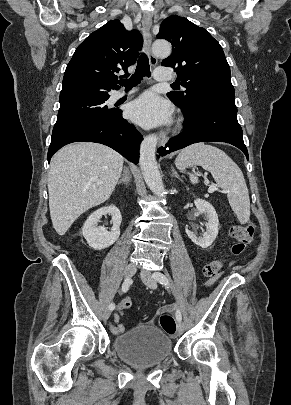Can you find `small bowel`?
<instances>
[{"label":"small bowel","mask_w":291,"mask_h":405,"mask_svg":"<svg viewBox=\"0 0 291 405\" xmlns=\"http://www.w3.org/2000/svg\"><path fill=\"white\" fill-rule=\"evenodd\" d=\"M175 311V307L167 305L159 309V314L172 313ZM118 312L120 315H124V310L118 306ZM110 330L114 335H119L125 331V327L119 322L118 316L114 317L113 322L110 324Z\"/></svg>","instance_id":"1"}]
</instances>
